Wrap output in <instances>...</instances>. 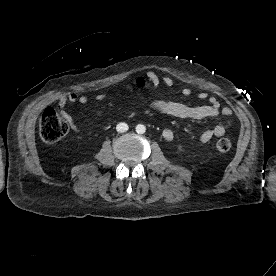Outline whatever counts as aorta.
Instances as JSON below:
<instances>
[{
    "label": "aorta",
    "instance_id": "762f6f07",
    "mask_svg": "<svg viewBox=\"0 0 276 276\" xmlns=\"http://www.w3.org/2000/svg\"><path fill=\"white\" fill-rule=\"evenodd\" d=\"M136 132H137L138 134H143V133H145V132H146V127H145V125H143V124H138V125L136 126Z\"/></svg>",
    "mask_w": 276,
    "mask_h": 276
}]
</instances>
